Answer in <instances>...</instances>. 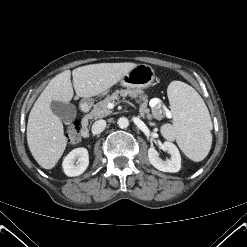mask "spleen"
I'll use <instances>...</instances> for the list:
<instances>
[{
	"label": "spleen",
	"mask_w": 247,
	"mask_h": 247,
	"mask_svg": "<svg viewBox=\"0 0 247 247\" xmlns=\"http://www.w3.org/2000/svg\"><path fill=\"white\" fill-rule=\"evenodd\" d=\"M167 94L174 120L162 126L163 135L175 139L189 159L202 161L211 149L213 128L205 102L194 88L181 81H172Z\"/></svg>",
	"instance_id": "1"
}]
</instances>
